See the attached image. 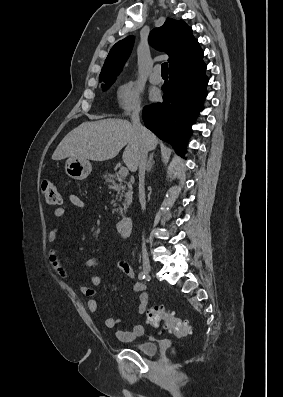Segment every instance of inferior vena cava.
<instances>
[{
	"label": "inferior vena cava",
	"instance_id": "obj_1",
	"mask_svg": "<svg viewBox=\"0 0 283 397\" xmlns=\"http://www.w3.org/2000/svg\"><path fill=\"white\" fill-rule=\"evenodd\" d=\"M140 107H136L131 115V121L134 129L136 130L139 137L145 143L143 149L141 150L138 167H139V201L142 207V210H145L146 201H145V189H144V178H145V170H146V162H147V155H148V147H147V130L141 125L140 122ZM143 240V247H145V240Z\"/></svg>",
	"mask_w": 283,
	"mask_h": 397
}]
</instances>
